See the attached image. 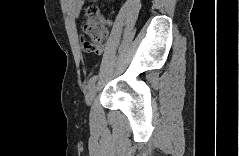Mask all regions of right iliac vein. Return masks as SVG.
<instances>
[{
  "instance_id": "1",
  "label": "right iliac vein",
  "mask_w": 239,
  "mask_h": 156,
  "mask_svg": "<svg viewBox=\"0 0 239 156\" xmlns=\"http://www.w3.org/2000/svg\"><path fill=\"white\" fill-rule=\"evenodd\" d=\"M97 89H98L97 85H93L89 89V92H88V94L86 96V103H87L88 106L91 105V103H92V101L94 99V96H95V94L97 92Z\"/></svg>"
}]
</instances>
